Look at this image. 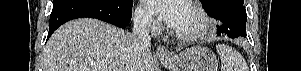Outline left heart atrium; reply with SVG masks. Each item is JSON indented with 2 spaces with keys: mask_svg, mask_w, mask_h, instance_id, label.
Here are the masks:
<instances>
[{
  "mask_svg": "<svg viewBox=\"0 0 301 71\" xmlns=\"http://www.w3.org/2000/svg\"><path fill=\"white\" fill-rule=\"evenodd\" d=\"M145 6L158 15L169 27L175 29L184 8L182 0H144Z\"/></svg>",
  "mask_w": 301,
  "mask_h": 71,
  "instance_id": "1",
  "label": "left heart atrium"
}]
</instances>
